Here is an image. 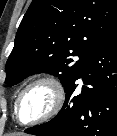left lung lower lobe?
I'll return each mask as SVG.
<instances>
[{
  "label": "left lung lower lobe",
  "mask_w": 117,
  "mask_h": 136,
  "mask_svg": "<svg viewBox=\"0 0 117 136\" xmlns=\"http://www.w3.org/2000/svg\"><path fill=\"white\" fill-rule=\"evenodd\" d=\"M80 78L84 85L77 95ZM65 93L56 117L25 132L37 136H117V23L89 52Z\"/></svg>",
  "instance_id": "1"
}]
</instances>
